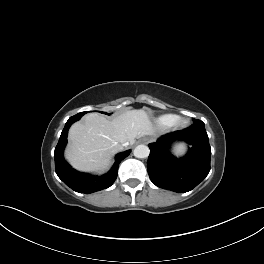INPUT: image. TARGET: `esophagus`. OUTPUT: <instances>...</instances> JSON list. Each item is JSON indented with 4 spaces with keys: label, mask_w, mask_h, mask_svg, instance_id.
Here are the masks:
<instances>
[{
    "label": "esophagus",
    "mask_w": 264,
    "mask_h": 264,
    "mask_svg": "<svg viewBox=\"0 0 264 264\" xmlns=\"http://www.w3.org/2000/svg\"><path fill=\"white\" fill-rule=\"evenodd\" d=\"M142 142H144V143L149 142V138H143V139H142Z\"/></svg>",
    "instance_id": "obj_1"
}]
</instances>
